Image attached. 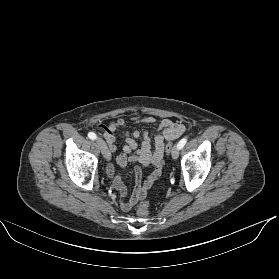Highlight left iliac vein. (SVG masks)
<instances>
[{"mask_svg": "<svg viewBox=\"0 0 279 279\" xmlns=\"http://www.w3.org/2000/svg\"><path fill=\"white\" fill-rule=\"evenodd\" d=\"M171 156L173 159H177L179 156V148L177 145L173 146L172 151H171Z\"/></svg>", "mask_w": 279, "mask_h": 279, "instance_id": "obj_1", "label": "left iliac vein"}]
</instances>
